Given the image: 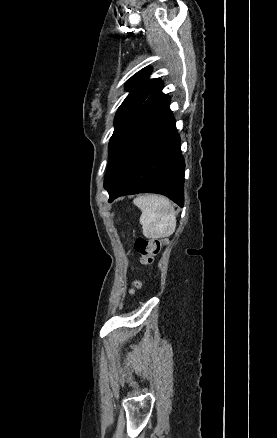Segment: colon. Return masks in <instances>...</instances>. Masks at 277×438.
<instances>
[{
    "mask_svg": "<svg viewBox=\"0 0 277 438\" xmlns=\"http://www.w3.org/2000/svg\"><path fill=\"white\" fill-rule=\"evenodd\" d=\"M163 244L159 243L151 238H146L145 236H138L135 242V248L138 253L142 256L143 264L150 266L153 262L154 256L157 252L162 249ZM141 286L140 281L136 280L133 282L132 290H137Z\"/></svg>",
    "mask_w": 277,
    "mask_h": 438,
    "instance_id": "obj_1",
    "label": "colon"
}]
</instances>
